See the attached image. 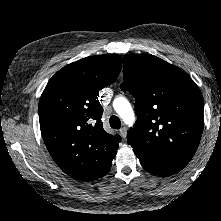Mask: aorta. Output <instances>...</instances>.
Wrapping results in <instances>:
<instances>
[{"instance_id": "aorta-1", "label": "aorta", "mask_w": 221, "mask_h": 221, "mask_svg": "<svg viewBox=\"0 0 221 221\" xmlns=\"http://www.w3.org/2000/svg\"><path fill=\"white\" fill-rule=\"evenodd\" d=\"M113 108L126 124H132L135 120L134 113L129 101L124 97H116Z\"/></svg>"}]
</instances>
